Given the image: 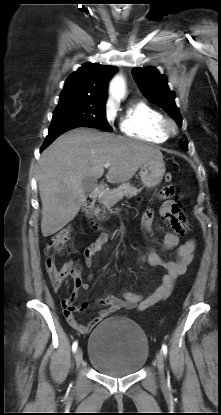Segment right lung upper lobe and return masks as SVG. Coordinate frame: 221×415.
Listing matches in <instances>:
<instances>
[{"instance_id": "cb5924a9", "label": "right lung upper lobe", "mask_w": 221, "mask_h": 415, "mask_svg": "<svg viewBox=\"0 0 221 415\" xmlns=\"http://www.w3.org/2000/svg\"><path fill=\"white\" fill-rule=\"evenodd\" d=\"M116 71V66L85 63L67 78L61 96L106 101L108 82Z\"/></svg>"}]
</instances>
